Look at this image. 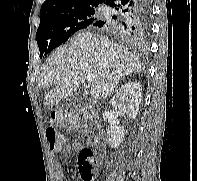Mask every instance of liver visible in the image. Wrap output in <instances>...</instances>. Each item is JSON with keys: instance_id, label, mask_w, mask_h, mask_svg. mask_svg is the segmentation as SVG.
Wrapping results in <instances>:
<instances>
[{"instance_id": "obj_1", "label": "liver", "mask_w": 197, "mask_h": 181, "mask_svg": "<svg viewBox=\"0 0 197 181\" xmlns=\"http://www.w3.org/2000/svg\"><path fill=\"white\" fill-rule=\"evenodd\" d=\"M140 60L127 48L108 37L82 32L75 35L69 46L55 50L43 66L39 88L54 85L44 97V106L58 104L76 91L84 74H93L90 94L95 99L106 98L119 81L141 71Z\"/></svg>"}]
</instances>
